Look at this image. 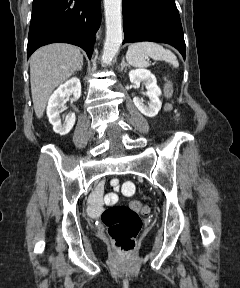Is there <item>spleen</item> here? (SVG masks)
Here are the masks:
<instances>
[{
    "label": "spleen",
    "mask_w": 240,
    "mask_h": 288,
    "mask_svg": "<svg viewBox=\"0 0 240 288\" xmlns=\"http://www.w3.org/2000/svg\"><path fill=\"white\" fill-rule=\"evenodd\" d=\"M148 57L155 60H165L174 67H178L179 63L176 56L168 49L154 42H138L128 47L126 53L127 62L134 67H147L149 65Z\"/></svg>",
    "instance_id": "spleen-1"
}]
</instances>
